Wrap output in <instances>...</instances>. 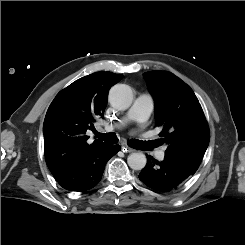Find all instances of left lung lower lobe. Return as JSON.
I'll return each instance as SVG.
<instances>
[{"label":"left lung lower lobe","instance_id":"1","mask_svg":"<svg viewBox=\"0 0 245 245\" xmlns=\"http://www.w3.org/2000/svg\"><path fill=\"white\" fill-rule=\"evenodd\" d=\"M148 162L141 170L139 179L159 192H170L181 186L195 174L201 163L191 162L176 155L165 153L164 160L157 161L147 155Z\"/></svg>","mask_w":245,"mask_h":245}]
</instances>
